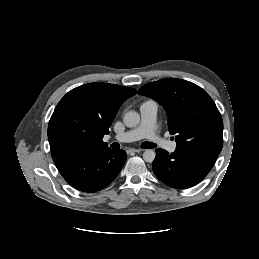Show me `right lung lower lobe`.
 <instances>
[{
	"label": "right lung lower lobe",
	"mask_w": 259,
	"mask_h": 259,
	"mask_svg": "<svg viewBox=\"0 0 259 259\" xmlns=\"http://www.w3.org/2000/svg\"><path fill=\"white\" fill-rule=\"evenodd\" d=\"M126 158L124 150L115 152L108 148L73 158L56 159L54 163L72 187L83 192H96L108 186L116 178Z\"/></svg>",
	"instance_id": "98d812e1"
}]
</instances>
